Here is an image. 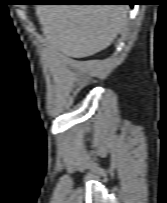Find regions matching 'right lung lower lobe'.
Listing matches in <instances>:
<instances>
[{"mask_svg": "<svg viewBox=\"0 0 167 203\" xmlns=\"http://www.w3.org/2000/svg\"><path fill=\"white\" fill-rule=\"evenodd\" d=\"M109 1V0H108ZM111 1V0H110ZM113 1V0H112ZM115 1V0H114ZM117 1V0H116ZM106 3H114V2H104V3H100V4H106ZM131 6H133L132 4H131Z\"/></svg>", "mask_w": 167, "mask_h": 203, "instance_id": "right-lung-lower-lobe-1", "label": "right lung lower lobe"}]
</instances>
